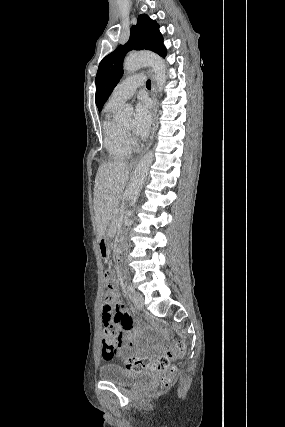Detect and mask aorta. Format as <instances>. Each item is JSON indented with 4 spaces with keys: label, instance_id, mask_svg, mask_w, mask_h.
Segmentation results:
<instances>
[{
    "label": "aorta",
    "instance_id": "obj_1",
    "mask_svg": "<svg viewBox=\"0 0 285 427\" xmlns=\"http://www.w3.org/2000/svg\"><path fill=\"white\" fill-rule=\"evenodd\" d=\"M124 70L127 73H133L138 69L149 66L152 68L155 74V80L157 84L158 92H162L164 85L166 84V65L163 59L152 52H137L129 54L124 61ZM133 112L131 105H125L122 111V116L129 117ZM154 153L152 150L148 151L137 164L131 183L128 187V201L129 205L133 206L141 192L144 181L147 177L150 166L153 162Z\"/></svg>",
    "mask_w": 285,
    "mask_h": 427
}]
</instances>
